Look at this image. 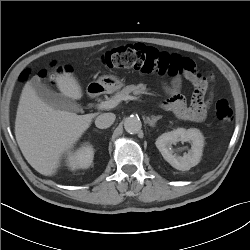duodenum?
Returning <instances> with one entry per match:
<instances>
[{"mask_svg": "<svg viewBox=\"0 0 250 250\" xmlns=\"http://www.w3.org/2000/svg\"><path fill=\"white\" fill-rule=\"evenodd\" d=\"M103 87L99 84H93L88 87L87 95L90 99H95L102 92Z\"/></svg>", "mask_w": 250, "mask_h": 250, "instance_id": "1", "label": "duodenum"}]
</instances>
